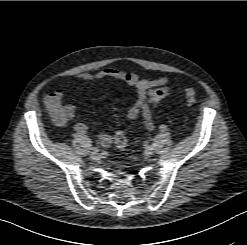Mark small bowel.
Returning a JSON list of instances; mask_svg holds the SVG:
<instances>
[{
  "mask_svg": "<svg viewBox=\"0 0 247 245\" xmlns=\"http://www.w3.org/2000/svg\"><path fill=\"white\" fill-rule=\"evenodd\" d=\"M104 79H116L124 82L134 89L136 98L127 111V117L134 120L138 117L142 118L143 126L147 133L154 129V122L151 115L150 105L147 101V93L152 88H163L169 83L168 77H159L156 79H143L137 72H125L116 68L106 67L96 72H83L77 75L76 81L90 85H95ZM64 92L57 89L45 97V106L58 124H66L70 122L75 115V107L73 105L63 104ZM61 110L62 116L54 115L55 110ZM73 129L78 134H85L88 126L85 123L77 122L73 125ZM99 143L103 147H109L112 138L108 134L99 136Z\"/></svg>",
  "mask_w": 247,
  "mask_h": 245,
  "instance_id": "1",
  "label": "small bowel"
}]
</instances>
